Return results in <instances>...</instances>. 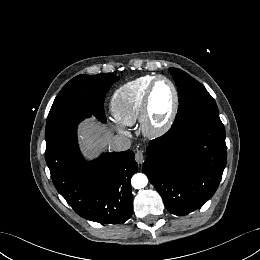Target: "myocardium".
<instances>
[{"mask_svg": "<svg viewBox=\"0 0 260 260\" xmlns=\"http://www.w3.org/2000/svg\"><path fill=\"white\" fill-rule=\"evenodd\" d=\"M160 81H165L171 86L174 94V105L168 120L161 126H154L151 122V100L154 90ZM179 108L180 94L175 83L168 77L157 76L148 87L143 99L141 115L139 119L142 133L149 138H158L165 135L173 127L179 113Z\"/></svg>", "mask_w": 260, "mask_h": 260, "instance_id": "obj_1", "label": "myocardium"}]
</instances>
